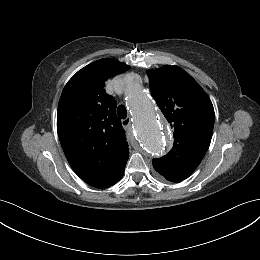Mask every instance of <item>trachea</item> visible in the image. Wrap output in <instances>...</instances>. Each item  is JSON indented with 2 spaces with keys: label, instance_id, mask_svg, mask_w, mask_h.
I'll return each instance as SVG.
<instances>
[{
  "label": "trachea",
  "instance_id": "3493384b",
  "mask_svg": "<svg viewBox=\"0 0 260 260\" xmlns=\"http://www.w3.org/2000/svg\"><path fill=\"white\" fill-rule=\"evenodd\" d=\"M117 114L121 119H126L127 117V110L124 105H119L117 108Z\"/></svg>",
  "mask_w": 260,
  "mask_h": 260
}]
</instances>
